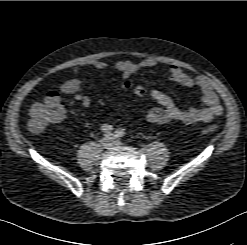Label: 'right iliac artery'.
Masks as SVG:
<instances>
[{"label": "right iliac artery", "mask_w": 247, "mask_h": 245, "mask_svg": "<svg viewBox=\"0 0 247 245\" xmlns=\"http://www.w3.org/2000/svg\"><path fill=\"white\" fill-rule=\"evenodd\" d=\"M101 130H102V132H104V133H110V132L113 131V126H112V125H109V124H103V125L101 126Z\"/></svg>", "instance_id": "obj_1"}]
</instances>
